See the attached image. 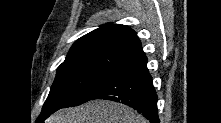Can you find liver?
<instances>
[{"label":"liver","instance_id":"obj_1","mask_svg":"<svg viewBox=\"0 0 221 123\" xmlns=\"http://www.w3.org/2000/svg\"><path fill=\"white\" fill-rule=\"evenodd\" d=\"M46 123H147V120L126 105L94 100L75 108L61 109Z\"/></svg>","mask_w":221,"mask_h":123}]
</instances>
